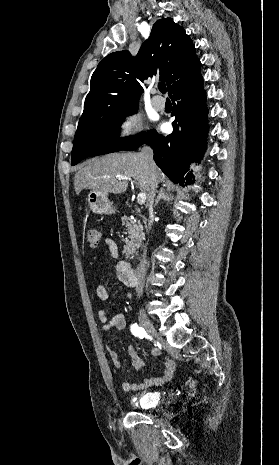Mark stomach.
Masks as SVG:
<instances>
[{
  "label": "stomach",
  "instance_id": "0dacf381",
  "mask_svg": "<svg viewBox=\"0 0 279 465\" xmlns=\"http://www.w3.org/2000/svg\"><path fill=\"white\" fill-rule=\"evenodd\" d=\"M87 201L89 208L95 214H113L116 212V208L108 199L107 194L102 192L91 190Z\"/></svg>",
  "mask_w": 279,
  "mask_h": 465
}]
</instances>
